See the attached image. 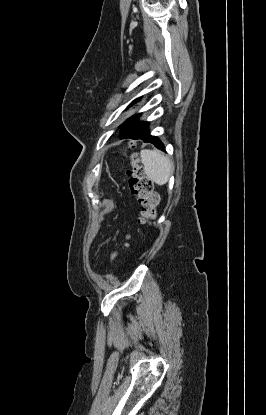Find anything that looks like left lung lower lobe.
<instances>
[{
  "mask_svg": "<svg viewBox=\"0 0 266 415\" xmlns=\"http://www.w3.org/2000/svg\"><path fill=\"white\" fill-rule=\"evenodd\" d=\"M131 139H141L144 142L153 143L160 150H165L164 144L159 140V138L156 136H151L150 133L139 135Z\"/></svg>",
  "mask_w": 266,
  "mask_h": 415,
  "instance_id": "0a47b994",
  "label": "left lung lower lobe"
}]
</instances>
